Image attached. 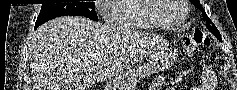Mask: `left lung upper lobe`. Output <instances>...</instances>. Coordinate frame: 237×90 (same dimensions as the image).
Listing matches in <instances>:
<instances>
[{"mask_svg": "<svg viewBox=\"0 0 237 90\" xmlns=\"http://www.w3.org/2000/svg\"><path fill=\"white\" fill-rule=\"evenodd\" d=\"M190 2H191L192 4H194L197 9H200V10L202 11V16H203V19L207 22L206 27L208 28V30H209L213 35H215L220 41H222V40H221V35H220L218 29L214 26V24L211 22V20H210L209 17L207 16L205 10L203 9V7H202L201 4H200V1H199V0H190Z\"/></svg>", "mask_w": 237, "mask_h": 90, "instance_id": "obj_1", "label": "left lung upper lobe"}]
</instances>
